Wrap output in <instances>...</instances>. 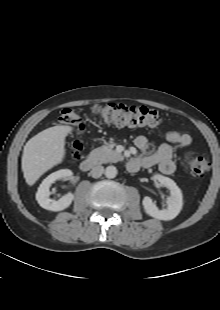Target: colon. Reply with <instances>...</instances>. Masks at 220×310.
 <instances>
[{
	"label": "colon",
	"mask_w": 220,
	"mask_h": 310,
	"mask_svg": "<svg viewBox=\"0 0 220 310\" xmlns=\"http://www.w3.org/2000/svg\"><path fill=\"white\" fill-rule=\"evenodd\" d=\"M95 111L105 122L116 126L156 128L162 125L160 114L146 107L108 103L97 106ZM59 122L72 127L78 134L84 128L80 116L71 108H65L61 111ZM82 148L81 140L75 138L70 144L71 158L74 160L79 159L82 154ZM187 168L191 174L201 176L209 171L210 163L204 157L189 155L187 157Z\"/></svg>",
	"instance_id": "5ec220e1"
}]
</instances>
